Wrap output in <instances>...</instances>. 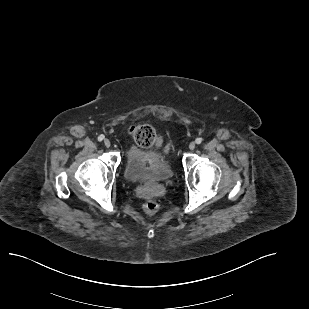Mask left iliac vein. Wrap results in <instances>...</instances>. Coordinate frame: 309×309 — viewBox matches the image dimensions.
<instances>
[{
    "instance_id": "left-iliac-vein-1",
    "label": "left iliac vein",
    "mask_w": 309,
    "mask_h": 309,
    "mask_svg": "<svg viewBox=\"0 0 309 309\" xmlns=\"http://www.w3.org/2000/svg\"><path fill=\"white\" fill-rule=\"evenodd\" d=\"M195 147H196L195 142H191V143L189 144V149H190V150H194Z\"/></svg>"
}]
</instances>
